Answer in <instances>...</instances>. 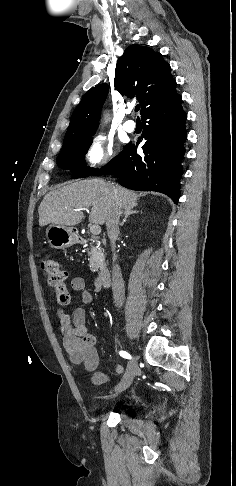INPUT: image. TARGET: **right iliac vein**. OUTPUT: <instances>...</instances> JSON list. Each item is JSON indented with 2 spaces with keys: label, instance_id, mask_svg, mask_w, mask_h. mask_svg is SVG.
I'll return each mask as SVG.
<instances>
[{
  "label": "right iliac vein",
  "instance_id": "right-iliac-vein-1",
  "mask_svg": "<svg viewBox=\"0 0 236 486\" xmlns=\"http://www.w3.org/2000/svg\"><path fill=\"white\" fill-rule=\"evenodd\" d=\"M137 371H138L137 365H136L135 359H133L132 361H130L128 363V367H127V370L125 372V375H124L123 379L121 380V382L116 386L115 390L118 391V392H122V391L126 390L132 384V381H133Z\"/></svg>",
  "mask_w": 236,
  "mask_h": 486
}]
</instances>
